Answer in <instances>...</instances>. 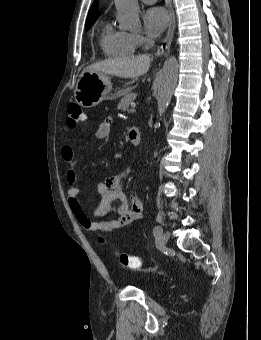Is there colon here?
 I'll use <instances>...</instances> for the list:
<instances>
[{
    "label": "colon",
    "mask_w": 261,
    "mask_h": 340,
    "mask_svg": "<svg viewBox=\"0 0 261 340\" xmlns=\"http://www.w3.org/2000/svg\"><path fill=\"white\" fill-rule=\"evenodd\" d=\"M85 120V115L78 104H70L67 108V125L70 128H75ZM100 244H104L105 240L103 237H98ZM118 258L122 266L127 269L135 270L141 266V260L137 256L129 255L126 253H119Z\"/></svg>",
    "instance_id": "1"
}]
</instances>
